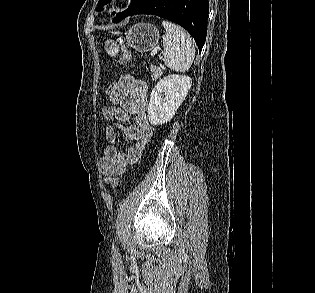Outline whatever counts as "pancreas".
<instances>
[{
	"mask_svg": "<svg viewBox=\"0 0 315 293\" xmlns=\"http://www.w3.org/2000/svg\"><path fill=\"white\" fill-rule=\"evenodd\" d=\"M151 77H152V80H156L157 78H160L161 75L163 74V70L164 68L163 67H156V66H151Z\"/></svg>",
	"mask_w": 315,
	"mask_h": 293,
	"instance_id": "pancreas-1",
	"label": "pancreas"
}]
</instances>
